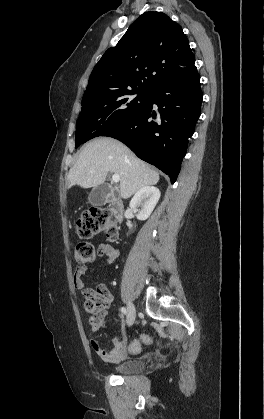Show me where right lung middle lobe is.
I'll list each match as a JSON object with an SVG mask.
<instances>
[{"instance_id": "1", "label": "right lung middle lobe", "mask_w": 264, "mask_h": 419, "mask_svg": "<svg viewBox=\"0 0 264 419\" xmlns=\"http://www.w3.org/2000/svg\"><path fill=\"white\" fill-rule=\"evenodd\" d=\"M149 93V90L135 88L83 97L82 111L77 121L75 148L94 137L102 136L133 115L147 102Z\"/></svg>"}]
</instances>
